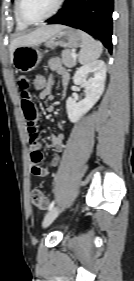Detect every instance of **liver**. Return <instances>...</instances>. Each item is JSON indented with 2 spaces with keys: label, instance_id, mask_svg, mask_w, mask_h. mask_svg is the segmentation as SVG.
Returning <instances> with one entry per match:
<instances>
[{
  "label": "liver",
  "instance_id": "1",
  "mask_svg": "<svg viewBox=\"0 0 134 281\" xmlns=\"http://www.w3.org/2000/svg\"><path fill=\"white\" fill-rule=\"evenodd\" d=\"M63 26L62 25H49L39 27L30 33L21 35L12 40L10 44V55L12 57L13 51L20 46L38 45L45 42L52 35L57 33Z\"/></svg>",
  "mask_w": 134,
  "mask_h": 281
}]
</instances>
